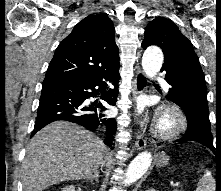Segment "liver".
I'll return each instance as SVG.
<instances>
[{
    "label": "liver",
    "instance_id": "obj_1",
    "mask_svg": "<svg viewBox=\"0 0 221 191\" xmlns=\"http://www.w3.org/2000/svg\"><path fill=\"white\" fill-rule=\"evenodd\" d=\"M109 160L107 147L95 134L69 122H53L26 148L23 191H43L63 181L88 178Z\"/></svg>",
    "mask_w": 221,
    "mask_h": 191
}]
</instances>
